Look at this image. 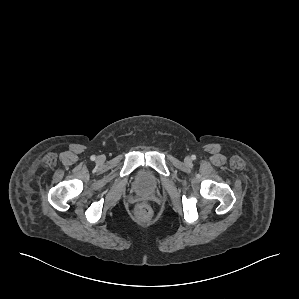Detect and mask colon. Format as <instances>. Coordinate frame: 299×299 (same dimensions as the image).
Returning a JSON list of instances; mask_svg holds the SVG:
<instances>
[{
  "instance_id": "obj_1",
  "label": "colon",
  "mask_w": 299,
  "mask_h": 299,
  "mask_svg": "<svg viewBox=\"0 0 299 299\" xmlns=\"http://www.w3.org/2000/svg\"><path fill=\"white\" fill-rule=\"evenodd\" d=\"M134 213L137 218L146 220L152 215V208L147 202H140L136 205Z\"/></svg>"
}]
</instances>
